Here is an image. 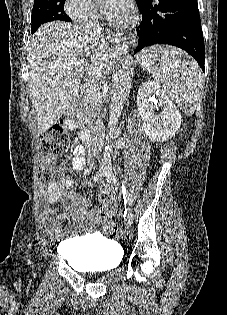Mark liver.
I'll return each mask as SVG.
<instances>
[{"label":"liver","instance_id":"6515ba94","mask_svg":"<svg viewBox=\"0 0 227 315\" xmlns=\"http://www.w3.org/2000/svg\"><path fill=\"white\" fill-rule=\"evenodd\" d=\"M112 52L101 37L71 23L49 22L34 33L27 61L39 133L74 105L84 71L94 80L110 69ZM76 61L84 62L83 69L74 65Z\"/></svg>","mask_w":227,"mask_h":315}]
</instances>
